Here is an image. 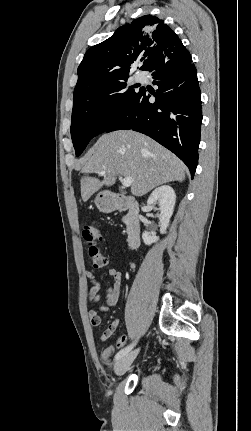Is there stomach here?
Returning <instances> with one entry per match:
<instances>
[{
	"mask_svg": "<svg viewBox=\"0 0 251 431\" xmlns=\"http://www.w3.org/2000/svg\"><path fill=\"white\" fill-rule=\"evenodd\" d=\"M95 204L99 211L104 213L112 212L116 208L115 199L107 192L99 193L95 198Z\"/></svg>",
	"mask_w": 251,
	"mask_h": 431,
	"instance_id": "obj_1",
	"label": "stomach"
}]
</instances>
